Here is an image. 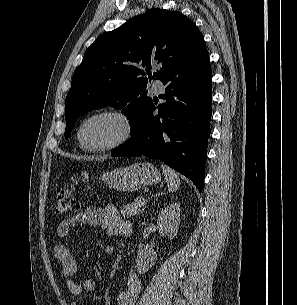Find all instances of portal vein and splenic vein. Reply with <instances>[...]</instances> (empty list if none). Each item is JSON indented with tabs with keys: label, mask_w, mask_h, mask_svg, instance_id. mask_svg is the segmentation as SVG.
Returning <instances> with one entry per match:
<instances>
[{
	"label": "portal vein and splenic vein",
	"mask_w": 297,
	"mask_h": 305,
	"mask_svg": "<svg viewBox=\"0 0 297 305\" xmlns=\"http://www.w3.org/2000/svg\"><path fill=\"white\" fill-rule=\"evenodd\" d=\"M138 202L139 203L144 202V198H142V197L138 198Z\"/></svg>",
	"instance_id": "18ae733b"
}]
</instances>
